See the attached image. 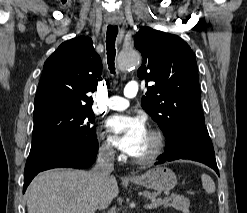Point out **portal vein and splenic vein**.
<instances>
[{
	"label": "portal vein and splenic vein",
	"instance_id": "1",
	"mask_svg": "<svg viewBox=\"0 0 247 213\" xmlns=\"http://www.w3.org/2000/svg\"><path fill=\"white\" fill-rule=\"evenodd\" d=\"M171 199H172V196H168L164 199L154 200L150 204H145L144 207L146 209L157 208V207L161 206L162 204H164L166 201L171 200Z\"/></svg>",
	"mask_w": 247,
	"mask_h": 213
}]
</instances>
